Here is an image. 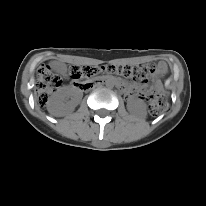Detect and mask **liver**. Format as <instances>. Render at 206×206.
I'll list each match as a JSON object with an SVG mask.
<instances>
[{"label":"liver","instance_id":"6515ba94","mask_svg":"<svg viewBox=\"0 0 206 206\" xmlns=\"http://www.w3.org/2000/svg\"><path fill=\"white\" fill-rule=\"evenodd\" d=\"M49 111L53 116L61 117V116L65 115V112H60V111L56 112V111H51V110H49Z\"/></svg>","mask_w":206,"mask_h":206}]
</instances>
